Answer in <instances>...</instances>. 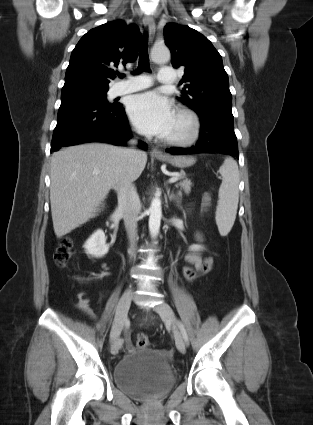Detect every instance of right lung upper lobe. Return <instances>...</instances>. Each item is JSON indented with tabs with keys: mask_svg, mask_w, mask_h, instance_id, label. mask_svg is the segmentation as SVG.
I'll return each instance as SVG.
<instances>
[{
	"mask_svg": "<svg viewBox=\"0 0 313 425\" xmlns=\"http://www.w3.org/2000/svg\"><path fill=\"white\" fill-rule=\"evenodd\" d=\"M141 33L135 24L122 20L107 22L88 31L72 51L63 92L109 88L112 66L137 58Z\"/></svg>",
	"mask_w": 313,
	"mask_h": 425,
	"instance_id": "cb5924a9",
	"label": "right lung upper lobe"
}]
</instances>
